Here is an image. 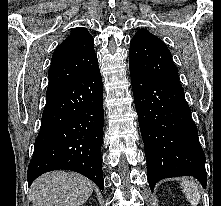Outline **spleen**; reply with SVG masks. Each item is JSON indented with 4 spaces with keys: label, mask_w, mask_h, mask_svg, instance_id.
<instances>
[{
    "label": "spleen",
    "mask_w": 221,
    "mask_h": 206,
    "mask_svg": "<svg viewBox=\"0 0 221 206\" xmlns=\"http://www.w3.org/2000/svg\"><path fill=\"white\" fill-rule=\"evenodd\" d=\"M182 191L192 206H197L200 201L199 184L192 179H183Z\"/></svg>",
    "instance_id": "spleen-1"
}]
</instances>
